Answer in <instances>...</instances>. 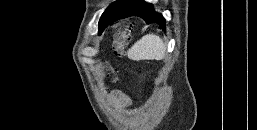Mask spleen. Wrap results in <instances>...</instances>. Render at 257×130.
<instances>
[{
    "label": "spleen",
    "mask_w": 257,
    "mask_h": 130,
    "mask_svg": "<svg viewBox=\"0 0 257 130\" xmlns=\"http://www.w3.org/2000/svg\"><path fill=\"white\" fill-rule=\"evenodd\" d=\"M165 54L166 46L155 34L143 36L128 50V58L134 61L162 60Z\"/></svg>",
    "instance_id": "1"
}]
</instances>
